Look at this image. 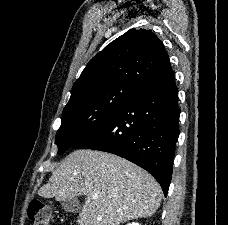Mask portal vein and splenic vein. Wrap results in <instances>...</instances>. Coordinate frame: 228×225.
I'll return each instance as SVG.
<instances>
[{
  "instance_id": "18ae733b",
  "label": "portal vein and splenic vein",
  "mask_w": 228,
  "mask_h": 225,
  "mask_svg": "<svg viewBox=\"0 0 228 225\" xmlns=\"http://www.w3.org/2000/svg\"><path fill=\"white\" fill-rule=\"evenodd\" d=\"M98 195H92V199H97Z\"/></svg>"
}]
</instances>
